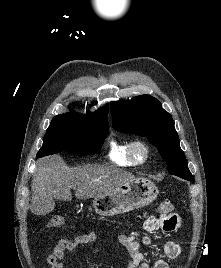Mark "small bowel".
<instances>
[{"mask_svg":"<svg viewBox=\"0 0 221 268\" xmlns=\"http://www.w3.org/2000/svg\"><path fill=\"white\" fill-rule=\"evenodd\" d=\"M181 225L180 217L173 213L169 216L155 217L151 216L143 222L144 234L133 231L129 234H120L118 241L128 250L130 260L127 261V268H170L165 260L177 258L181 254V246L174 241H165L159 244L161 256H155L150 263L143 253V246L150 245L152 240L150 234L157 231L165 233L175 232ZM101 238L97 232L91 231L86 234L77 236L73 240L62 239L54 247V250L46 258V262L50 268H66L65 259L68 253L79 247L86 246L96 242Z\"/></svg>","mask_w":221,"mask_h":268,"instance_id":"small-bowel-1","label":"small bowel"}]
</instances>
